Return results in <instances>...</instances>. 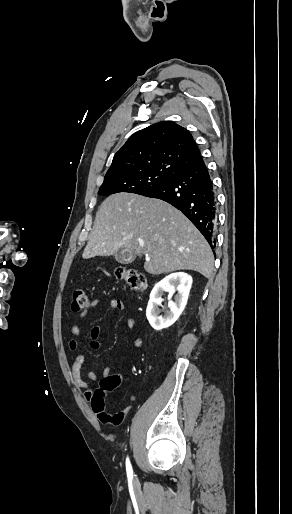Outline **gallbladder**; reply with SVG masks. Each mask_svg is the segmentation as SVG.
<instances>
[{"label": "gallbladder", "instance_id": "1", "mask_svg": "<svg viewBox=\"0 0 292 514\" xmlns=\"http://www.w3.org/2000/svg\"><path fill=\"white\" fill-rule=\"evenodd\" d=\"M116 262H120L122 264L123 262V256H122V250H118L116 254H114Z\"/></svg>", "mask_w": 292, "mask_h": 514}]
</instances>
